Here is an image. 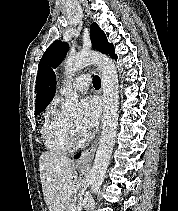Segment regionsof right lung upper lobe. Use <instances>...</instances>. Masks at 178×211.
Wrapping results in <instances>:
<instances>
[{
  "mask_svg": "<svg viewBox=\"0 0 178 211\" xmlns=\"http://www.w3.org/2000/svg\"><path fill=\"white\" fill-rule=\"evenodd\" d=\"M36 83L35 112H39L45 109L54 96L56 90V79L54 72L46 68Z\"/></svg>",
  "mask_w": 178,
  "mask_h": 211,
  "instance_id": "obj_1",
  "label": "right lung upper lobe"
}]
</instances>
